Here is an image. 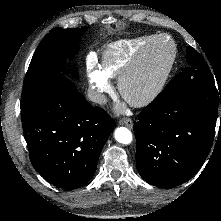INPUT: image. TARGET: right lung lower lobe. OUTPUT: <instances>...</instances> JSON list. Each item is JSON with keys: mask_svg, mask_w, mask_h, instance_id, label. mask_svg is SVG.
<instances>
[{"mask_svg": "<svg viewBox=\"0 0 221 221\" xmlns=\"http://www.w3.org/2000/svg\"><path fill=\"white\" fill-rule=\"evenodd\" d=\"M21 118L33 167L51 184L68 190L93 177L115 126L68 78L55 81L21 107Z\"/></svg>", "mask_w": 221, "mask_h": 221, "instance_id": "1", "label": "right lung lower lobe"}]
</instances>
